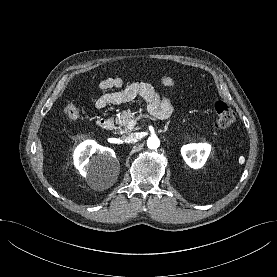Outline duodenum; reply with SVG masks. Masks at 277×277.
<instances>
[{
    "label": "duodenum",
    "instance_id": "1",
    "mask_svg": "<svg viewBox=\"0 0 277 277\" xmlns=\"http://www.w3.org/2000/svg\"><path fill=\"white\" fill-rule=\"evenodd\" d=\"M97 125L105 130H108L112 127V121L108 118L101 117L97 120Z\"/></svg>",
    "mask_w": 277,
    "mask_h": 277
}]
</instances>
